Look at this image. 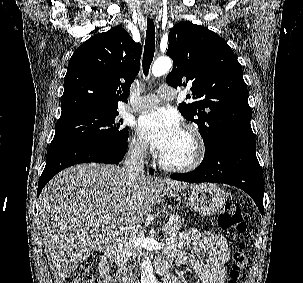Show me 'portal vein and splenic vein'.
<instances>
[{
    "label": "portal vein and splenic vein",
    "mask_w": 303,
    "mask_h": 283,
    "mask_svg": "<svg viewBox=\"0 0 303 283\" xmlns=\"http://www.w3.org/2000/svg\"><path fill=\"white\" fill-rule=\"evenodd\" d=\"M100 222H102V221H100ZM169 224H171L172 223V221L171 220H169V222H168ZM168 226H167V224L166 225H164L163 227H162V231L163 232H166L167 230H168Z\"/></svg>",
    "instance_id": "portal-vein-and-splenic-vein-1"
}]
</instances>
